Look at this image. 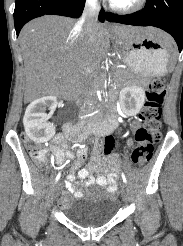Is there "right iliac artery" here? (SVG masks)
<instances>
[{
    "instance_id": "1",
    "label": "right iliac artery",
    "mask_w": 183,
    "mask_h": 246,
    "mask_svg": "<svg viewBox=\"0 0 183 246\" xmlns=\"http://www.w3.org/2000/svg\"><path fill=\"white\" fill-rule=\"evenodd\" d=\"M60 178V173L58 174V176L56 177V182L59 180Z\"/></svg>"
}]
</instances>
